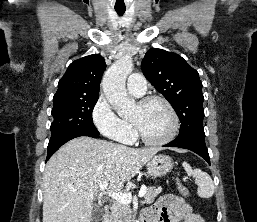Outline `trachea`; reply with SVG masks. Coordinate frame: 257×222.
<instances>
[{"label": "trachea", "instance_id": "1", "mask_svg": "<svg viewBox=\"0 0 257 222\" xmlns=\"http://www.w3.org/2000/svg\"><path fill=\"white\" fill-rule=\"evenodd\" d=\"M116 12L119 16H123L125 10H116Z\"/></svg>", "mask_w": 257, "mask_h": 222}]
</instances>
